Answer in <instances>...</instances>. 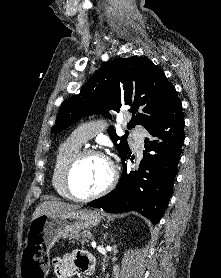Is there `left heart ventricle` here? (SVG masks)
<instances>
[{"mask_svg": "<svg viewBox=\"0 0 221 278\" xmlns=\"http://www.w3.org/2000/svg\"><path fill=\"white\" fill-rule=\"evenodd\" d=\"M110 178L107 162L95 155L83 158L75 167L71 176L74 191L81 196L101 190Z\"/></svg>", "mask_w": 221, "mask_h": 278, "instance_id": "b2bd125f", "label": "left heart ventricle"}]
</instances>
